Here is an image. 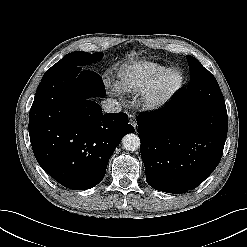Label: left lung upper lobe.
Instances as JSON below:
<instances>
[{
	"label": "left lung upper lobe",
	"mask_w": 247,
	"mask_h": 247,
	"mask_svg": "<svg viewBox=\"0 0 247 247\" xmlns=\"http://www.w3.org/2000/svg\"><path fill=\"white\" fill-rule=\"evenodd\" d=\"M189 64L190 69V83L192 80L197 79L198 77H201L204 72H209L206 68L202 66V64L193 56L187 55L186 56ZM189 83V85H190ZM188 85V86H189Z\"/></svg>",
	"instance_id": "obj_1"
}]
</instances>
